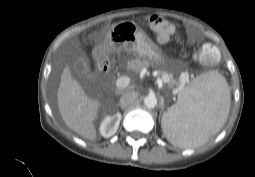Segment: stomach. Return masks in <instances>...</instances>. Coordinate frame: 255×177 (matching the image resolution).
I'll list each match as a JSON object with an SVG mask.
<instances>
[{
  "label": "stomach",
  "mask_w": 255,
  "mask_h": 177,
  "mask_svg": "<svg viewBox=\"0 0 255 177\" xmlns=\"http://www.w3.org/2000/svg\"><path fill=\"white\" fill-rule=\"evenodd\" d=\"M97 49L103 56L109 51L127 52L159 65L165 64L161 49L133 21L114 24L107 33L105 45Z\"/></svg>",
  "instance_id": "obj_1"
}]
</instances>
